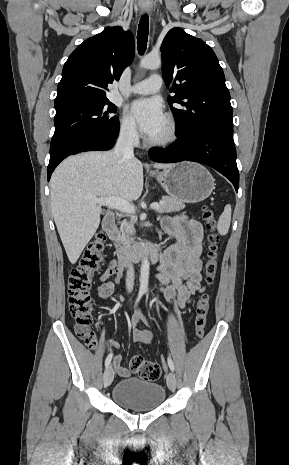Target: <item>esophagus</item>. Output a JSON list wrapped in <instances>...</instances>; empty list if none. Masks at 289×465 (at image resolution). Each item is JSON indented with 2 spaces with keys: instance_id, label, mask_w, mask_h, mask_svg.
<instances>
[{
  "instance_id": "1",
  "label": "esophagus",
  "mask_w": 289,
  "mask_h": 465,
  "mask_svg": "<svg viewBox=\"0 0 289 465\" xmlns=\"http://www.w3.org/2000/svg\"><path fill=\"white\" fill-rule=\"evenodd\" d=\"M141 11H142V13H143V14H146V13H148V12H149V9H147V8H142V10H141Z\"/></svg>"
}]
</instances>
